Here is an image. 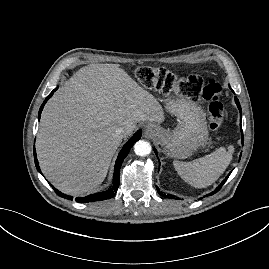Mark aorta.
<instances>
[{
  "label": "aorta",
  "mask_w": 269,
  "mask_h": 269,
  "mask_svg": "<svg viewBox=\"0 0 269 269\" xmlns=\"http://www.w3.org/2000/svg\"><path fill=\"white\" fill-rule=\"evenodd\" d=\"M134 152L138 156H146L151 152V145L147 141L139 140L134 145Z\"/></svg>",
  "instance_id": "1"
}]
</instances>
